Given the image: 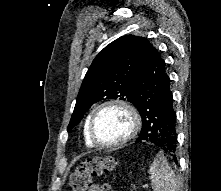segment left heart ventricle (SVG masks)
<instances>
[{"mask_svg": "<svg viewBox=\"0 0 221 191\" xmlns=\"http://www.w3.org/2000/svg\"><path fill=\"white\" fill-rule=\"evenodd\" d=\"M130 119L120 108H108L101 111L95 121L96 138L103 143L121 140L129 131Z\"/></svg>", "mask_w": 221, "mask_h": 191, "instance_id": "b2bd125f", "label": "left heart ventricle"}]
</instances>
